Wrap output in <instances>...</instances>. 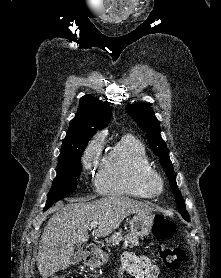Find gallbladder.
Segmentation results:
<instances>
[{"mask_svg": "<svg viewBox=\"0 0 221 278\" xmlns=\"http://www.w3.org/2000/svg\"><path fill=\"white\" fill-rule=\"evenodd\" d=\"M82 248L77 249V251L74 253V256L71 260L72 265L78 264L82 260Z\"/></svg>", "mask_w": 221, "mask_h": 278, "instance_id": "gallbladder-1", "label": "gallbladder"}]
</instances>
